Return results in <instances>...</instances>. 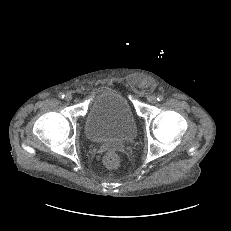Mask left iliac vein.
<instances>
[{"instance_id":"obj_1","label":"left iliac vein","mask_w":231,"mask_h":231,"mask_svg":"<svg viewBox=\"0 0 231 231\" xmlns=\"http://www.w3.org/2000/svg\"><path fill=\"white\" fill-rule=\"evenodd\" d=\"M148 101L152 104H155L157 102V98L154 95H151L148 97Z\"/></svg>"}]
</instances>
